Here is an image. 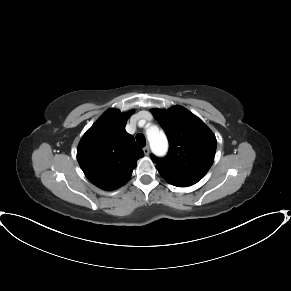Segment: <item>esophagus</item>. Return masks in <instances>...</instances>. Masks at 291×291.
<instances>
[{"instance_id":"34e87169","label":"esophagus","mask_w":291,"mask_h":291,"mask_svg":"<svg viewBox=\"0 0 291 291\" xmlns=\"http://www.w3.org/2000/svg\"><path fill=\"white\" fill-rule=\"evenodd\" d=\"M143 151H144V154H145L146 156H148L149 153H150V150H149V147H148V146H146V147L143 149Z\"/></svg>"}]
</instances>
